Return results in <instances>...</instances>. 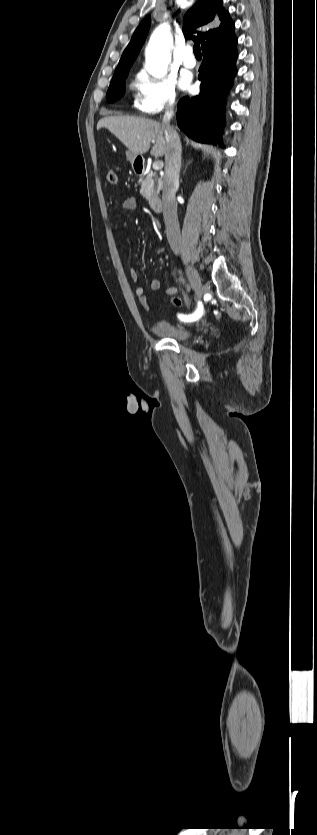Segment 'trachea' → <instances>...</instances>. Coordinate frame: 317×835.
Masks as SVG:
<instances>
[{"mask_svg": "<svg viewBox=\"0 0 317 835\" xmlns=\"http://www.w3.org/2000/svg\"><path fill=\"white\" fill-rule=\"evenodd\" d=\"M193 52H194L195 56H201L202 55L199 43H195V45L193 47Z\"/></svg>", "mask_w": 317, "mask_h": 835, "instance_id": "1", "label": "trachea"}]
</instances>
